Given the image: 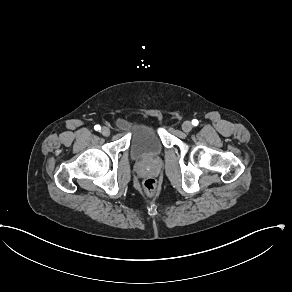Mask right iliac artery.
Listing matches in <instances>:
<instances>
[{
    "label": "right iliac artery",
    "instance_id": "right-iliac-artery-1",
    "mask_svg": "<svg viewBox=\"0 0 292 292\" xmlns=\"http://www.w3.org/2000/svg\"><path fill=\"white\" fill-rule=\"evenodd\" d=\"M94 129H95L96 131H99V130L101 129V127H100V125H95V126H94Z\"/></svg>",
    "mask_w": 292,
    "mask_h": 292
}]
</instances>
